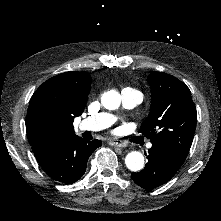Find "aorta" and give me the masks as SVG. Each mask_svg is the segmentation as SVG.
<instances>
[{"label":"aorta","instance_id":"762f6f07","mask_svg":"<svg viewBox=\"0 0 221 221\" xmlns=\"http://www.w3.org/2000/svg\"><path fill=\"white\" fill-rule=\"evenodd\" d=\"M121 99L118 92L104 94L102 104L108 110H114L120 106ZM125 164L133 172L140 171L144 167V156L138 151H132L126 155Z\"/></svg>","mask_w":221,"mask_h":221}]
</instances>
